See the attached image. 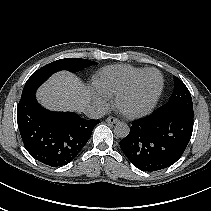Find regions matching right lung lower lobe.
Masks as SVG:
<instances>
[{
    "label": "right lung lower lobe",
    "mask_w": 211,
    "mask_h": 211,
    "mask_svg": "<svg viewBox=\"0 0 211 211\" xmlns=\"http://www.w3.org/2000/svg\"><path fill=\"white\" fill-rule=\"evenodd\" d=\"M17 122L29 154L43 164L59 167L78 155L100 120H86L73 112L46 110L32 92L20 99Z\"/></svg>",
    "instance_id": "right-lung-lower-lobe-1"
}]
</instances>
